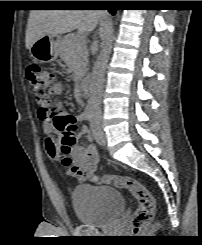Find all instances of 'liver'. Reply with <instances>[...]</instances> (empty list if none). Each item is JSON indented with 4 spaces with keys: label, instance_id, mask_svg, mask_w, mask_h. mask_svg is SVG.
<instances>
[{
    "label": "liver",
    "instance_id": "1",
    "mask_svg": "<svg viewBox=\"0 0 202 245\" xmlns=\"http://www.w3.org/2000/svg\"><path fill=\"white\" fill-rule=\"evenodd\" d=\"M101 12L96 10H31L26 29L25 44L30 50L33 43L44 35H58L75 29L79 33L91 32Z\"/></svg>",
    "mask_w": 202,
    "mask_h": 245
}]
</instances>
